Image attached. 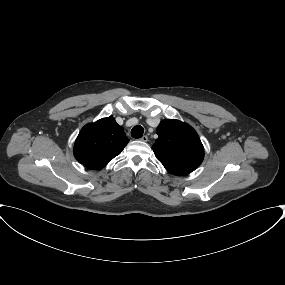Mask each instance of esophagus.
Listing matches in <instances>:
<instances>
[{
  "label": "esophagus",
  "instance_id": "1",
  "mask_svg": "<svg viewBox=\"0 0 285 285\" xmlns=\"http://www.w3.org/2000/svg\"><path fill=\"white\" fill-rule=\"evenodd\" d=\"M140 140H141L142 142H147V141H148V137H147L146 135H144V136H142V137L140 138Z\"/></svg>",
  "mask_w": 285,
  "mask_h": 285
}]
</instances>
